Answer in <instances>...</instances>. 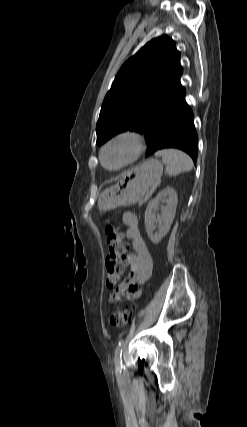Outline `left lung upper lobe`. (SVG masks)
<instances>
[{"label":"left lung upper lobe","instance_id":"5c2ea615","mask_svg":"<svg viewBox=\"0 0 247 427\" xmlns=\"http://www.w3.org/2000/svg\"><path fill=\"white\" fill-rule=\"evenodd\" d=\"M175 42L162 35L129 58L107 93L96 125L97 144L123 131L145 133L153 118L185 89Z\"/></svg>","mask_w":247,"mask_h":427}]
</instances>
